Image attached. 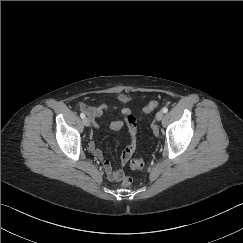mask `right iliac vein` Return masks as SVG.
Listing matches in <instances>:
<instances>
[{
	"mask_svg": "<svg viewBox=\"0 0 243 243\" xmlns=\"http://www.w3.org/2000/svg\"><path fill=\"white\" fill-rule=\"evenodd\" d=\"M83 124H84L86 127L90 126L91 122H90L89 118H87V117L84 118V119H83Z\"/></svg>",
	"mask_w": 243,
	"mask_h": 243,
	"instance_id": "63e3f726",
	"label": "right iliac vein"
}]
</instances>
